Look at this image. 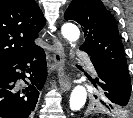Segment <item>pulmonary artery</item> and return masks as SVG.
Instances as JSON below:
<instances>
[{
  "label": "pulmonary artery",
  "instance_id": "e3ab8cb5",
  "mask_svg": "<svg viewBox=\"0 0 133 118\" xmlns=\"http://www.w3.org/2000/svg\"><path fill=\"white\" fill-rule=\"evenodd\" d=\"M75 53H76V55H77L78 57L84 58V59L86 60V62L88 63V65H89V67H90L91 70L94 69V66H93V64H92V62H91V60H90V58H89L85 53H82V52H79V51H76Z\"/></svg>",
  "mask_w": 133,
  "mask_h": 118
}]
</instances>
